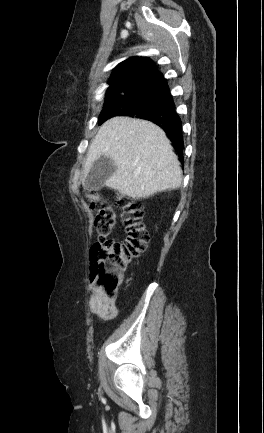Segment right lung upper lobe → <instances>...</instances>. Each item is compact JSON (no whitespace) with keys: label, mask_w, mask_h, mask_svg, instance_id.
Listing matches in <instances>:
<instances>
[{"label":"right lung upper lobe","mask_w":264,"mask_h":433,"mask_svg":"<svg viewBox=\"0 0 264 433\" xmlns=\"http://www.w3.org/2000/svg\"><path fill=\"white\" fill-rule=\"evenodd\" d=\"M157 71L155 63L149 58L131 57L113 70L106 96L114 97L129 89L142 88Z\"/></svg>","instance_id":"cb5924a9"}]
</instances>
